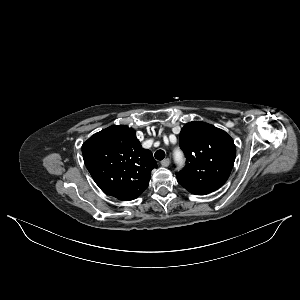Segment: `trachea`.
Returning a JSON list of instances; mask_svg holds the SVG:
<instances>
[{
  "label": "trachea",
  "instance_id": "1",
  "mask_svg": "<svg viewBox=\"0 0 300 300\" xmlns=\"http://www.w3.org/2000/svg\"><path fill=\"white\" fill-rule=\"evenodd\" d=\"M154 156L157 160H163L165 158V152L159 149L155 152Z\"/></svg>",
  "mask_w": 300,
  "mask_h": 300
}]
</instances>
